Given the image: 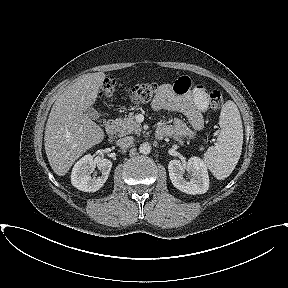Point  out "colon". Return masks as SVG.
Masks as SVG:
<instances>
[{
    "instance_id": "5ec220e1",
    "label": "colon",
    "mask_w": 288,
    "mask_h": 288,
    "mask_svg": "<svg viewBox=\"0 0 288 288\" xmlns=\"http://www.w3.org/2000/svg\"><path fill=\"white\" fill-rule=\"evenodd\" d=\"M155 83L138 84L129 90V99L133 103H144L150 101L159 91ZM116 90V81L113 77L104 80L100 95L111 96ZM223 104V95L220 91L214 90L209 94V105L212 109H218Z\"/></svg>"
}]
</instances>
